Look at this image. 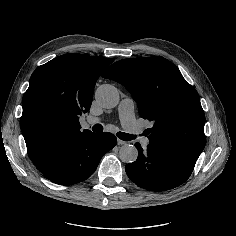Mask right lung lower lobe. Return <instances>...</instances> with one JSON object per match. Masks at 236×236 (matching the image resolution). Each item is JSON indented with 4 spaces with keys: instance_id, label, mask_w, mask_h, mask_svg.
I'll return each instance as SVG.
<instances>
[{
    "instance_id": "obj_1",
    "label": "right lung lower lobe",
    "mask_w": 236,
    "mask_h": 236,
    "mask_svg": "<svg viewBox=\"0 0 236 236\" xmlns=\"http://www.w3.org/2000/svg\"><path fill=\"white\" fill-rule=\"evenodd\" d=\"M116 143L117 139L111 133H86L70 142L42 173L60 185L84 181L94 173L102 156Z\"/></svg>"
}]
</instances>
